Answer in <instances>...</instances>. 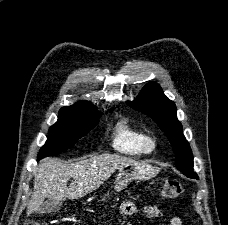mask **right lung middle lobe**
<instances>
[{"label":"right lung middle lobe","instance_id":"obj_1","mask_svg":"<svg viewBox=\"0 0 228 225\" xmlns=\"http://www.w3.org/2000/svg\"><path fill=\"white\" fill-rule=\"evenodd\" d=\"M101 113L94 107L66 106L58 114V121L49 130L48 140L38 158L56 155L72 147L99 122Z\"/></svg>","mask_w":228,"mask_h":225}]
</instances>
